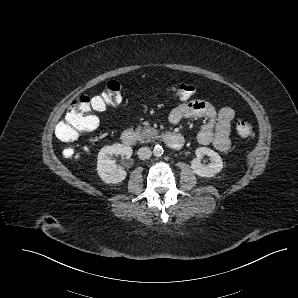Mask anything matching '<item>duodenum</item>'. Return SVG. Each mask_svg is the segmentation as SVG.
I'll return each mask as SVG.
<instances>
[{
	"mask_svg": "<svg viewBox=\"0 0 298 298\" xmlns=\"http://www.w3.org/2000/svg\"><path fill=\"white\" fill-rule=\"evenodd\" d=\"M162 140L172 149L178 150L183 146V137L175 132H166L161 135ZM121 140L125 145L133 146L140 142L139 134L133 129H125L121 133Z\"/></svg>",
	"mask_w": 298,
	"mask_h": 298,
	"instance_id": "410a0bca",
	"label": "duodenum"
}]
</instances>
